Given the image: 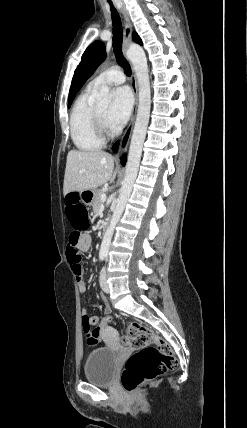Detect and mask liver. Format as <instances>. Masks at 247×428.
Segmentation results:
<instances>
[{"label":"liver","mask_w":247,"mask_h":428,"mask_svg":"<svg viewBox=\"0 0 247 428\" xmlns=\"http://www.w3.org/2000/svg\"><path fill=\"white\" fill-rule=\"evenodd\" d=\"M116 177L111 154L100 151L71 150L67 155L63 194L83 192L110 182Z\"/></svg>","instance_id":"obj_1"}]
</instances>
